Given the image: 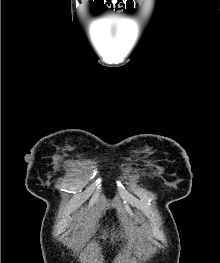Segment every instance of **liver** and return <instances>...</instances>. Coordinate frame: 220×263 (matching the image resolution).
<instances>
[{
  "mask_svg": "<svg viewBox=\"0 0 220 263\" xmlns=\"http://www.w3.org/2000/svg\"><path fill=\"white\" fill-rule=\"evenodd\" d=\"M82 225L85 224L81 220H78L77 225H75V228L79 229ZM143 233H144V229L140 227H134L129 231V238L132 239V237H137L138 235H142ZM83 236L86 237V232L83 234ZM102 238L104 239L105 236L103 235Z\"/></svg>",
  "mask_w": 220,
  "mask_h": 263,
  "instance_id": "1",
  "label": "liver"
}]
</instances>
